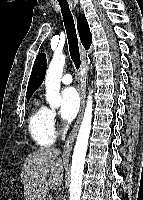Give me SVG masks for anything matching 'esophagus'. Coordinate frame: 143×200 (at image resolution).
Here are the masks:
<instances>
[{"label": "esophagus", "mask_w": 143, "mask_h": 200, "mask_svg": "<svg viewBox=\"0 0 143 200\" xmlns=\"http://www.w3.org/2000/svg\"><path fill=\"white\" fill-rule=\"evenodd\" d=\"M85 56H86V50L80 44V58H81L82 75L87 67ZM79 94H80V99H81L80 110L78 113L77 120L72 128V131L70 132L69 136L67 137V140H66L64 148H63L64 159H69V157H70L73 143L75 141V138H76V135H77V132H78L81 120H82V116H83V110H84V106H85V97H86V84L83 79L81 80V83L79 86Z\"/></svg>", "instance_id": "1"}]
</instances>
